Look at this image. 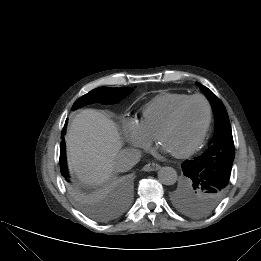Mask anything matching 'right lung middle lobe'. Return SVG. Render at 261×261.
<instances>
[{
	"label": "right lung middle lobe",
	"instance_id": "obj_1",
	"mask_svg": "<svg viewBox=\"0 0 261 261\" xmlns=\"http://www.w3.org/2000/svg\"><path fill=\"white\" fill-rule=\"evenodd\" d=\"M133 91V88H109L100 87L96 88L89 93L85 94L79 98L73 105V109L89 104L92 102H103V103H116L121 99L125 98L128 94ZM61 174L69 182V175L65 167H61ZM70 194L72 195L74 201L77 203L78 207L86 213L88 216L102 220L105 219V215L99 210L97 206L93 204L94 196L84 192L77 185L73 183L68 184Z\"/></svg>",
	"mask_w": 261,
	"mask_h": 261
}]
</instances>
